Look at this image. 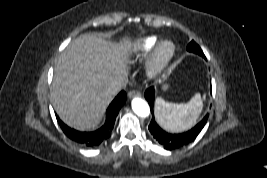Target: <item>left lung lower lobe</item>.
<instances>
[{
  "label": "left lung lower lobe",
  "mask_w": 267,
  "mask_h": 178,
  "mask_svg": "<svg viewBox=\"0 0 267 178\" xmlns=\"http://www.w3.org/2000/svg\"><path fill=\"white\" fill-rule=\"evenodd\" d=\"M154 88L151 87L146 90L145 92V98L149 102V105L151 107V112L153 114V106H154ZM208 116L204 117L194 128L191 130L181 133V134H170L164 131L159 127V125L156 123L154 117L152 118L148 129L153 136V138L161 144L165 149L167 150H173L180 147H183L190 142H192L198 134L201 132L203 127L205 126L207 122Z\"/></svg>",
  "instance_id": "left-lung-lower-lobe-1"
}]
</instances>
